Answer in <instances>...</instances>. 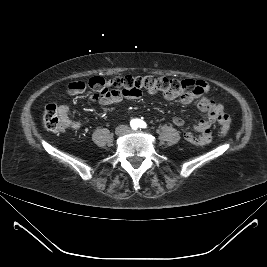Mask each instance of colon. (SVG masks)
Wrapping results in <instances>:
<instances>
[{
  "instance_id": "colon-1",
  "label": "colon",
  "mask_w": 267,
  "mask_h": 267,
  "mask_svg": "<svg viewBox=\"0 0 267 267\" xmlns=\"http://www.w3.org/2000/svg\"><path fill=\"white\" fill-rule=\"evenodd\" d=\"M113 88L121 91L124 95L131 97H139L143 93H176L185 88V83L177 79H169L166 77H155L152 75L132 76L125 75L116 77L112 81ZM218 123L220 125L219 135L224 137L228 134L231 126L230 117L222 112L218 115ZM43 121L45 127L53 132H59L64 129L63 122L58 115L57 107L54 104L46 106Z\"/></svg>"
}]
</instances>
